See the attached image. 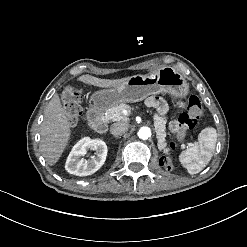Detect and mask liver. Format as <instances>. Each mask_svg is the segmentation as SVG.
I'll return each instance as SVG.
<instances>
[{"instance_id": "obj_1", "label": "liver", "mask_w": 247, "mask_h": 247, "mask_svg": "<svg viewBox=\"0 0 247 247\" xmlns=\"http://www.w3.org/2000/svg\"><path fill=\"white\" fill-rule=\"evenodd\" d=\"M83 83L98 87H119L127 78L100 79L89 74L78 78ZM41 151L48 165H54L61 157L70 138V123L66 110L62 107L58 94L49 101L44 111V120L41 124Z\"/></svg>"}]
</instances>
